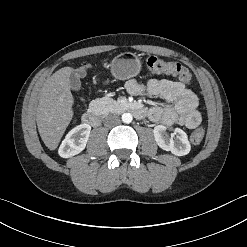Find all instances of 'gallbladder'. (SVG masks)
<instances>
[{
  "label": "gallbladder",
  "instance_id": "bac80fb5",
  "mask_svg": "<svg viewBox=\"0 0 247 247\" xmlns=\"http://www.w3.org/2000/svg\"><path fill=\"white\" fill-rule=\"evenodd\" d=\"M85 73H72L70 75V85L72 90L78 91L81 88V81H80V76H84Z\"/></svg>",
  "mask_w": 247,
  "mask_h": 247
}]
</instances>
